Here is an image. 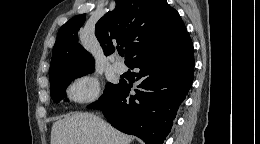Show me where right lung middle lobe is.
<instances>
[{"label":"right lung middle lobe","instance_id":"obj_1","mask_svg":"<svg viewBox=\"0 0 260 144\" xmlns=\"http://www.w3.org/2000/svg\"><path fill=\"white\" fill-rule=\"evenodd\" d=\"M93 71H94V67H85L80 69L62 71L49 76L50 93L52 99L55 102H59L60 100H62L64 97H66L65 90L71 81H73L75 78L81 77ZM116 85L117 84H112L108 82L106 84V88L104 90L103 95L107 94Z\"/></svg>","mask_w":260,"mask_h":144}]
</instances>
